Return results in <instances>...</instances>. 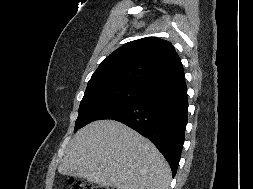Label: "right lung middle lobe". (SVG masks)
Segmentation results:
<instances>
[{"mask_svg":"<svg viewBox=\"0 0 253 189\" xmlns=\"http://www.w3.org/2000/svg\"><path fill=\"white\" fill-rule=\"evenodd\" d=\"M146 90L127 86H106L85 91L74 132L84 125L119 111L142 98Z\"/></svg>","mask_w":253,"mask_h":189,"instance_id":"right-lung-middle-lobe-1","label":"right lung middle lobe"}]
</instances>
